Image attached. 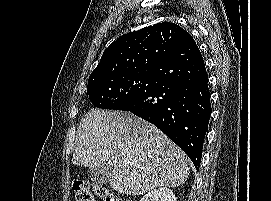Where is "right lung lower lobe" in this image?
I'll list each match as a JSON object with an SVG mask.
<instances>
[{
    "label": "right lung lower lobe",
    "instance_id": "right-lung-lower-lobe-1",
    "mask_svg": "<svg viewBox=\"0 0 271 201\" xmlns=\"http://www.w3.org/2000/svg\"><path fill=\"white\" fill-rule=\"evenodd\" d=\"M119 110L154 124L199 168L212 109L205 63L190 34L155 67L151 86Z\"/></svg>",
    "mask_w": 271,
    "mask_h": 201
}]
</instances>
